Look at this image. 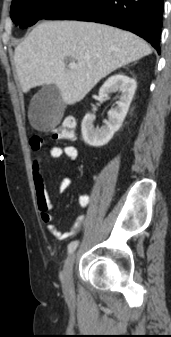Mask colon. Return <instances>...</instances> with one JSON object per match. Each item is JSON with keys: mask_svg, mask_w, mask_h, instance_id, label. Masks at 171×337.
Listing matches in <instances>:
<instances>
[{"mask_svg": "<svg viewBox=\"0 0 171 337\" xmlns=\"http://www.w3.org/2000/svg\"><path fill=\"white\" fill-rule=\"evenodd\" d=\"M49 135L54 140H73L76 136V122L72 117H67L56 128L49 132Z\"/></svg>", "mask_w": 171, "mask_h": 337, "instance_id": "colon-1", "label": "colon"}]
</instances>
